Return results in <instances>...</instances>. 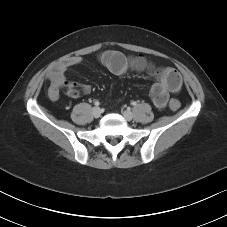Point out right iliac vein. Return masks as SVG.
Segmentation results:
<instances>
[{
	"label": "right iliac vein",
	"instance_id": "1",
	"mask_svg": "<svg viewBox=\"0 0 227 227\" xmlns=\"http://www.w3.org/2000/svg\"><path fill=\"white\" fill-rule=\"evenodd\" d=\"M92 114L95 118L100 117L101 115V109L99 107H94L92 110Z\"/></svg>",
	"mask_w": 227,
	"mask_h": 227
}]
</instances>
